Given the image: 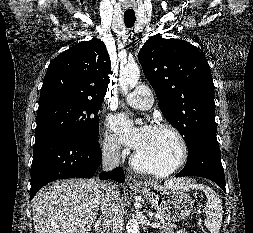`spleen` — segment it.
Segmentation results:
<instances>
[{"label":"spleen","mask_w":253,"mask_h":233,"mask_svg":"<svg viewBox=\"0 0 253 233\" xmlns=\"http://www.w3.org/2000/svg\"><path fill=\"white\" fill-rule=\"evenodd\" d=\"M173 186L184 191L201 190L205 193L207 198L205 207V226L210 231V233H219L223 218V208L221 200L219 199L216 192L209 186L196 183H185L183 180H177V184Z\"/></svg>","instance_id":"spleen-1"}]
</instances>
